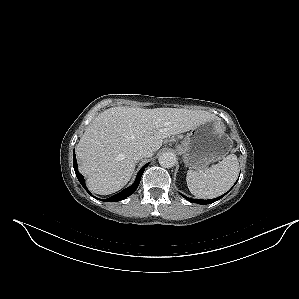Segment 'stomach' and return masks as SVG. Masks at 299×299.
I'll list each match as a JSON object with an SVG mask.
<instances>
[{
  "label": "stomach",
  "mask_w": 299,
  "mask_h": 299,
  "mask_svg": "<svg viewBox=\"0 0 299 299\" xmlns=\"http://www.w3.org/2000/svg\"><path fill=\"white\" fill-rule=\"evenodd\" d=\"M232 147V140L216 122L209 121L193 128L180 145L185 165L200 170L223 159Z\"/></svg>",
  "instance_id": "0dacf381"
}]
</instances>
